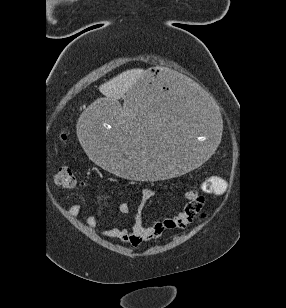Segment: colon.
I'll return each instance as SVG.
<instances>
[{
    "label": "colon",
    "mask_w": 286,
    "mask_h": 308,
    "mask_svg": "<svg viewBox=\"0 0 286 308\" xmlns=\"http://www.w3.org/2000/svg\"><path fill=\"white\" fill-rule=\"evenodd\" d=\"M54 179L56 184L64 189H74L79 186V180L75 173L65 165L58 167ZM226 188V181L220 177H211L203 184V191L206 193H222Z\"/></svg>",
    "instance_id": "obj_1"
}]
</instances>
